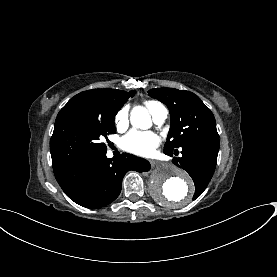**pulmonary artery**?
Segmentation results:
<instances>
[{"label": "pulmonary artery", "instance_id": "e3ab8cb5", "mask_svg": "<svg viewBox=\"0 0 277 277\" xmlns=\"http://www.w3.org/2000/svg\"><path fill=\"white\" fill-rule=\"evenodd\" d=\"M168 115H169V111L167 107H165L161 103H156L152 112V117L154 122L158 125H162L167 120Z\"/></svg>", "mask_w": 277, "mask_h": 277}]
</instances>
